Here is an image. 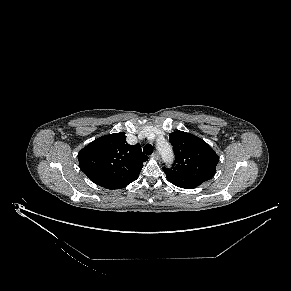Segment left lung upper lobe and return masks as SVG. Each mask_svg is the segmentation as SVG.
I'll use <instances>...</instances> for the list:
<instances>
[{
	"mask_svg": "<svg viewBox=\"0 0 291 291\" xmlns=\"http://www.w3.org/2000/svg\"><path fill=\"white\" fill-rule=\"evenodd\" d=\"M175 161L171 168H163L167 179L178 187H197L210 180L219 157L201 138L183 131L170 135Z\"/></svg>",
	"mask_w": 291,
	"mask_h": 291,
	"instance_id": "obj_1",
	"label": "left lung upper lobe"
}]
</instances>
